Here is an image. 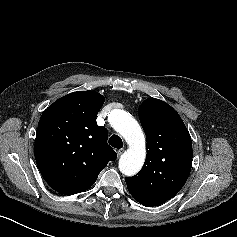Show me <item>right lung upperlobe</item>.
<instances>
[{
  "label": "right lung upper lobe",
  "mask_w": 237,
  "mask_h": 237,
  "mask_svg": "<svg viewBox=\"0 0 237 237\" xmlns=\"http://www.w3.org/2000/svg\"><path fill=\"white\" fill-rule=\"evenodd\" d=\"M104 97L93 91L70 93L42 114L35 139V159L55 191L73 195L89 189L116 152L108 131L96 123Z\"/></svg>",
  "instance_id": "1"
}]
</instances>
